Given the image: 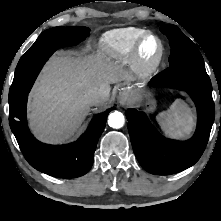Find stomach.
I'll use <instances>...</instances> for the list:
<instances>
[{"mask_svg": "<svg viewBox=\"0 0 221 221\" xmlns=\"http://www.w3.org/2000/svg\"><path fill=\"white\" fill-rule=\"evenodd\" d=\"M128 93L129 95L131 96V98L134 100V101H138L141 99L142 95L139 91V87H130L128 90ZM148 109L149 110H153L155 108V101L154 100H149L148 101Z\"/></svg>", "mask_w": 221, "mask_h": 221, "instance_id": "obj_1", "label": "stomach"}]
</instances>
